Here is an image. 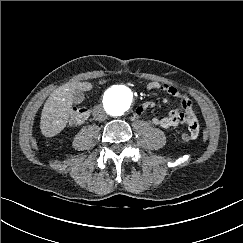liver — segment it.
<instances>
[{
    "mask_svg": "<svg viewBox=\"0 0 243 243\" xmlns=\"http://www.w3.org/2000/svg\"><path fill=\"white\" fill-rule=\"evenodd\" d=\"M82 88V83H67L50 94L44 104L40 121V129L45 137H53L66 127L73 105V94Z\"/></svg>",
    "mask_w": 243,
    "mask_h": 243,
    "instance_id": "6515ba94",
    "label": "liver"
}]
</instances>
